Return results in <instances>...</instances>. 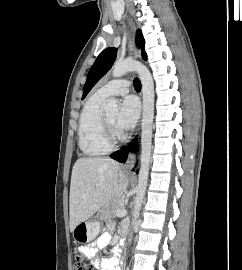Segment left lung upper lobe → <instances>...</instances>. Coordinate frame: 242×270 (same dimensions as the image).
I'll return each instance as SVG.
<instances>
[{
  "mask_svg": "<svg viewBox=\"0 0 242 270\" xmlns=\"http://www.w3.org/2000/svg\"><path fill=\"white\" fill-rule=\"evenodd\" d=\"M136 42H137V45L139 47H141V49H142V57L144 59H146L147 55L144 51L145 41H144V38L142 36L141 31H137ZM116 52H117L116 48H107L99 54V56L95 60L93 66L91 67V69L88 73L87 81H86V83L84 85V89H83L82 99H84L86 97V95L91 90V88L111 68V66L113 65V62L116 58Z\"/></svg>",
  "mask_w": 242,
  "mask_h": 270,
  "instance_id": "obj_1",
  "label": "left lung upper lobe"
}]
</instances>
